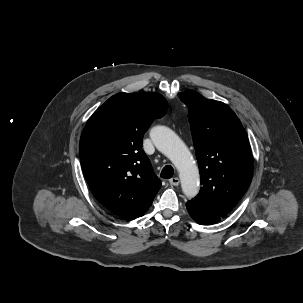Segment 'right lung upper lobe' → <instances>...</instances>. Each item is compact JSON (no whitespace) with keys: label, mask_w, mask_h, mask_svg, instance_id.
<instances>
[{"label":"right lung upper lobe","mask_w":303,"mask_h":303,"mask_svg":"<svg viewBox=\"0 0 303 303\" xmlns=\"http://www.w3.org/2000/svg\"><path fill=\"white\" fill-rule=\"evenodd\" d=\"M167 111L158 93H119L89 118L80 139V161L93 195L124 219L143 216L161 187L142 139Z\"/></svg>","instance_id":"right-lung-upper-lobe-1"}]
</instances>
